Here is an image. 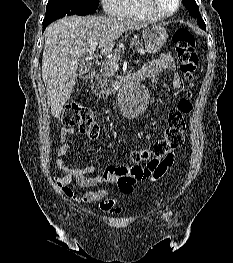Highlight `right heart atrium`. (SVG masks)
Segmentation results:
<instances>
[{
  "mask_svg": "<svg viewBox=\"0 0 233 263\" xmlns=\"http://www.w3.org/2000/svg\"><path fill=\"white\" fill-rule=\"evenodd\" d=\"M100 2L107 13H114L117 0H100Z\"/></svg>",
  "mask_w": 233,
  "mask_h": 263,
  "instance_id": "right-heart-atrium-1",
  "label": "right heart atrium"
}]
</instances>
